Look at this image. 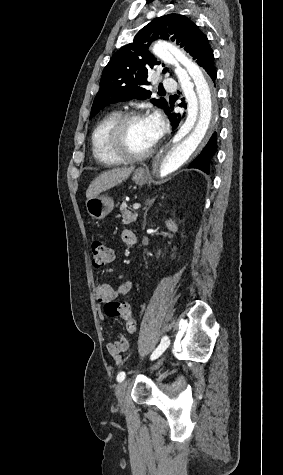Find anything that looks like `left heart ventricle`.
<instances>
[{
  "label": "left heart ventricle",
  "mask_w": 283,
  "mask_h": 475,
  "mask_svg": "<svg viewBox=\"0 0 283 475\" xmlns=\"http://www.w3.org/2000/svg\"><path fill=\"white\" fill-rule=\"evenodd\" d=\"M152 133L148 117L135 119L127 126L123 142L108 146L106 154L111 158L140 156L156 144Z\"/></svg>",
  "instance_id": "1"
}]
</instances>
